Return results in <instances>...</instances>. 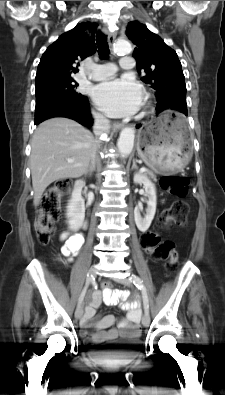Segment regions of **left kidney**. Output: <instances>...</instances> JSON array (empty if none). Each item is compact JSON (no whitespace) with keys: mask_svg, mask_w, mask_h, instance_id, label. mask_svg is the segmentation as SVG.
<instances>
[{"mask_svg":"<svg viewBox=\"0 0 225 395\" xmlns=\"http://www.w3.org/2000/svg\"><path fill=\"white\" fill-rule=\"evenodd\" d=\"M134 183L143 184L145 189V196L148 198L146 215L144 218L141 217V208L139 206H136L134 209L136 226L140 231L145 232L150 227L156 212V188L154 183H152L145 175L141 173H137L134 175Z\"/></svg>","mask_w":225,"mask_h":395,"instance_id":"left-kidney-1","label":"left kidney"}]
</instances>
